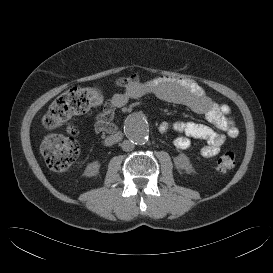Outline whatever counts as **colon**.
<instances>
[{
	"instance_id": "1",
	"label": "colon",
	"mask_w": 273,
	"mask_h": 273,
	"mask_svg": "<svg viewBox=\"0 0 273 273\" xmlns=\"http://www.w3.org/2000/svg\"><path fill=\"white\" fill-rule=\"evenodd\" d=\"M103 100L104 91L100 86L70 90L50 105L43 117V125L47 129L58 128L70 118L100 105ZM41 153L51 170L62 171L77 160L80 149L72 137L53 135L44 138L41 143ZM234 164L235 154L232 151L224 152L217 161L220 171L229 170L234 167Z\"/></svg>"
}]
</instances>
